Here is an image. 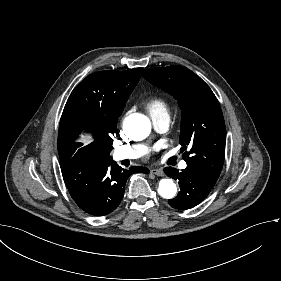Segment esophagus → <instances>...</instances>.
<instances>
[{
  "label": "esophagus",
  "mask_w": 281,
  "mask_h": 281,
  "mask_svg": "<svg viewBox=\"0 0 281 281\" xmlns=\"http://www.w3.org/2000/svg\"><path fill=\"white\" fill-rule=\"evenodd\" d=\"M150 173L155 174L157 176H164L163 169H152L150 170Z\"/></svg>",
  "instance_id": "34e87169"
}]
</instances>
